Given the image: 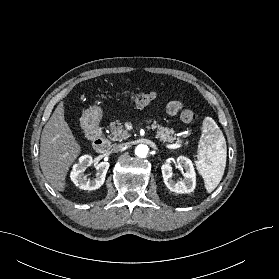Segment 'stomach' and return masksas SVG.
Here are the masks:
<instances>
[{"mask_svg": "<svg viewBox=\"0 0 279 279\" xmlns=\"http://www.w3.org/2000/svg\"><path fill=\"white\" fill-rule=\"evenodd\" d=\"M102 115L103 111L98 106L88 109L82 116L83 126L88 129L97 126L102 119Z\"/></svg>", "mask_w": 279, "mask_h": 279, "instance_id": "0dacf381", "label": "stomach"}]
</instances>
